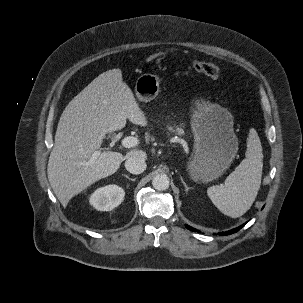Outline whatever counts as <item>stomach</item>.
<instances>
[{"label":"stomach","mask_w":303,"mask_h":303,"mask_svg":"<svg viewBox=\"0 0 303 303\" xmlns=\"http://www.w3.org/2000/svg\"><path fill=\"white\" fill-rule=\"evenodd\" d=\"M159 83L158 75H141L135 84L137 99L153 100L160 91ZM233 124V116L227 109L204 99L195 101L191 115L194 150L187 167L193 180L210 182L229 168L238 152Z\"/></svg>","instance_id":"stomach-1"}]
</instances>
